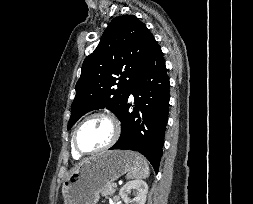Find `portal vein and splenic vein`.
<instances>
[{"label":"portal vein and splenic vein","mask_w":253,"mask_h":204,"mask_svg":"<svg viewBox=\"0 0 253 204\" xmlns=\"http://www.w3.org/2000/svg\"><path fill=\"white\" fill-rule=\"evenodd\" d=\"M112 185H113V187H115V188L117 187V183H113Z\"/></svg>","instance_id":"1"}]
</instances>
